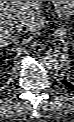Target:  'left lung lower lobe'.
<instances>
[{
  "instance_id": "left-lung-lower-lobe-1",
  "label": "left lung lower lobe",
  "mask_w": 74,
  "mask_h": 122,
  "mask_svg": "<svg viewBox=\"0 0 74 122\" xmlns=\"http://www.w3.org/2000/svg\"><path fill=\"white\" fill-rule=\"evenodd\" d=\"M62 83H63L66 87H68V88H70V89H74V85L72 84V82L69 81V80H67L66 78L62 80Z\"/></svg>"
}]
</instances>
